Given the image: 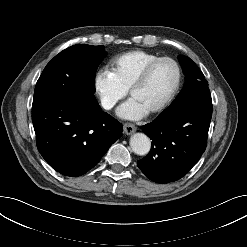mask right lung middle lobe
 <instances>
[{
    "mask_svg": "<svg viewBox=\"0 0 247 247\" xmlns=\"http://www.w3.org/2000/svg\"><path fill=\"white\" fill-rule=\"evenodd\" d=\"M104 46L78 44L56 55L37 81L33 105L60 94L85 106L97 105L95 74L105 57Z\"/></svg>",
    "mask_w": 247,
    "mask_h": 247,
    "instance_id": "obj_1",
    "label": "right lung middle lobe"
}]
</instances>
